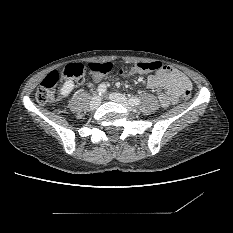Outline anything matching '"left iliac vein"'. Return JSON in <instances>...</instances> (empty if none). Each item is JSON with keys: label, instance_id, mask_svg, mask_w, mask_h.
Returning <instances> with one entry per match:
<instances>
[{"label": "left iliac vein", "instance_id": "1", "mask_svg": "<svg viewBox=\"0 0 233 233\" xmlns=\"http://www.w3.org/2000/svg\"><path fill=\"white\" fill-rule=\"evenodd\" d=\"M110 99L114 102L117 103H121L122 105H124L126 107L127 110L132 111L133 110V106L129 103V101L127 100V98L120 94V93H112L110 94Z\"/></svg>", "mask_w": 233, "mask_h": 233}]
</instances>
